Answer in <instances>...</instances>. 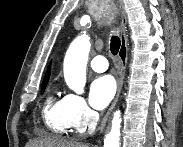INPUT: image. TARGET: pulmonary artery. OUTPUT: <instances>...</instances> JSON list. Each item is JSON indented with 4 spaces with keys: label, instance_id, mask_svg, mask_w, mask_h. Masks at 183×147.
I'll return each mask as SVG.
<instances>
[{
    "label": "pulmonary artery",
    "instance_id": "pulmonary-artery-1",
    "mask_svg": "<svg viewBox=\"0 0 183 147\" xmlns=\"http://www.w3.org/2000/svg\"><path fill=\"white\" fill-rule=\"evenodd\" d=\"M90 67L95 72H104L108 68V62L103 56H96L90 61Z\"/></svg>",
    "mask_w": 183,
    "mask_h": 147
}]
</instances>
